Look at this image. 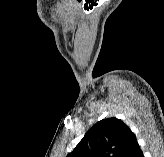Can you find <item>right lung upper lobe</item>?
Returning <instances> with one entry per match:
<instances>
[{
  "label": "right lung upper lobe",
  "instance_id": "cb5924a9",
  "mask_svg": "<svg viewBox=\"0 0 164 157\" xmlns=\"http://www.w3.org/2000/svg\"><path fill=\"white\" fill-rule=\"evenodd\" d=\"M135 141L129 127L111 117L93 125L67 157H124Z\"/></svg>",
  "mask_w": 164,
  "mask_h": 157
}]
</instances>
